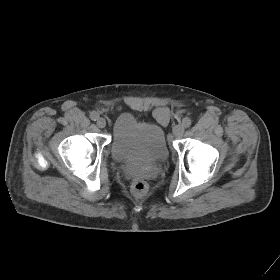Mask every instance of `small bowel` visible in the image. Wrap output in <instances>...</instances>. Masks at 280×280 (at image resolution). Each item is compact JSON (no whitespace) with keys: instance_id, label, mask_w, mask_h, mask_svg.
I'll list each match as a JSON object with an SVG mask.
<instances>
[{"instance_id":"1","label":"small bowel","mask_w":280,"mask_h":280,"mask_svg":"<svg viewBox=\"0 0 280 280\" xmlns=\"http://www.w3.org/2000/svg\"><path fill=\"white\" fill-rule=\"evenodd\" d=\"M156 116L162 120L163 122L168 121L169 117H170V112L167 108H160L157 109L155 112Z\"/></svg>"}]
</instances>
